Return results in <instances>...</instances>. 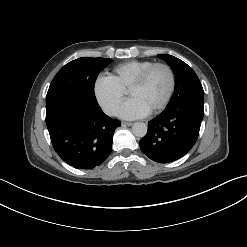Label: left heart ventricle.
Masks as SVG:
<instances>
[{"instance_id":"left-heart-ventricle-1","label":"left heart ventricle","mask_w":247,"mask_h":247,"mask_svg":"<svg viewBox=\"0 0 247 247\" xmlns=\"http://www.w3.org/2000/svg\"><path fill=\"white\" fill-rule=\"evenodd\" d=\"M170 87V75L163 67L155 68L147 77L144 84L131 89L128 94L137 99L148 111L158 106L166 97Z\"/></svg>"}]
</instances>
